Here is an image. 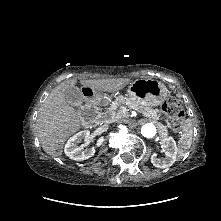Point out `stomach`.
Wrapping results in <instances>:
<instances>
[{
    "label": "stomach",
    "mask_w": 221,
    "mask_h": 221,
    "mask_svg": "<svg viewBox=\"0 0 221 221\" xmlns=\"http://www.w3.org/2000/svg\"><path fill=\"white\" fill-rule=\"evenodd\" d=\"M128 98L140 106L161 105L168 95L166 86L154 79H137L130 83Z\"/></svg>",
    "instance_id": "1"
}]
</instances>
